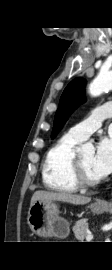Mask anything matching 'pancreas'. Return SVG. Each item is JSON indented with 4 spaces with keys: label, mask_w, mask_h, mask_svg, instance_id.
<instances>
[{
    "label": "pancreas",
    "mask_w": 112,
    "mask_h": 270,
    "mask_svg": "<svg viewBox=\"0 0 112 270\" xmlns=\"http://www.w3.org/2000/svg\"><path fill=\"white\" fill-rule=\"evenodd\" d=\"M76 239L80 242H84V239L88 235V223L86 219L78 220L72 228Z\"/></svg>",
    "instance_id": "cf45deb5"
}]
</instances>
